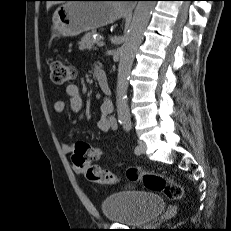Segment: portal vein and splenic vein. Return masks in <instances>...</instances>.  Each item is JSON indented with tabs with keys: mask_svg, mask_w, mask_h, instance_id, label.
I'll return each mask as SVG.
<instances>
[{
	"mask_svg": "<svg viewBox=\"0 0 231 231\" xmlns=\"http://www.w3.org/2000/svg\"><path fill=\"white\" fill-rule=\"evenodd\" d=\"M97 45H98L99 47H103V46L105 45V43H104V41H99V42L97 43Z\"/></svg>",
	"mask_w": 231,
	"mask_h": 231,
	"instance_id": "obj_1",
	"label": "portal vein and splenic vein"
}]
</instances>
